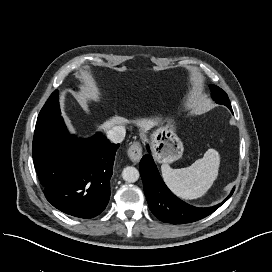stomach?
I'll return each mask as SVG.
<instances>
[{
	"label": "stomach",
	"instance_id": "obj_1",
	"mask_svg": "<svg viewBox=\"0 0 272 272\" xmlns=\"http://www.w3.org/2000/svg\"><path fill=\"white\" fill-rule=\"evenodd\" d=\"M155 159L163 164L172 163L183 155V143L176 134L171 120L163 121L150 135Z\"/></svg>",
	"mask_w": 272,
	"mask_h": 272
}]
</instances>
